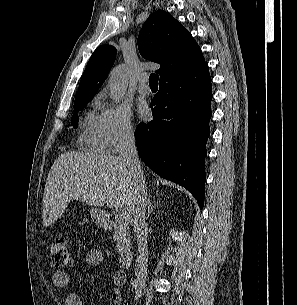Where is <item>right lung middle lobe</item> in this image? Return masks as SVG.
<instances>
[{
	"mask_svg": "<svg viewBox=\"0 0 297 305\" xmlns=\"http://www.w3.org/2000/svg\"><path fill=\"white\" fill-rule=\"evenodd\" d=\"M92 97L93 96H90V97H86V98L75 101L74 111L77 112V111L81 110L82 108H84L88 104V102L91 100ZM78 120H79L78 115H74L72 117L71 123L75 128H77Z\"/></svg>",
	"mask_w": 297,
	"mask_h": 305,
	"instance_id": "right-lung-middle-lobe-1",
	"label": "right lung middle lobe"
}]
</instances>
